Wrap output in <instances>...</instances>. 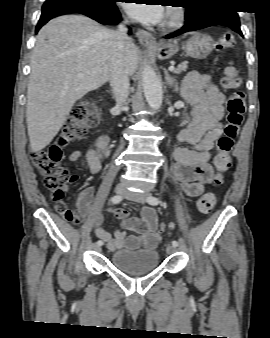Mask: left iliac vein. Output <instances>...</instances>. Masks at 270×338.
Segmentation results:
<instances>
[{
  "instance_id": "left-iliac-vein-1",
  "label": "left iliac vein",
  "mask_w": 270,
  "mask_h": 338,
  "mask_svg": "<svg viewBox=\"0 0 270 338\" xmlns=\"http://www.w3.org/2000/svg\"><path fill=\"white\" fill-rule=\"evenodd\" d=\"M148 195L149 193H146V192L125 191L124 193L125 198L142 203V204L147 201ZM175 251H176V247H174L173 245H168L166 247V253L168 255L173 254Z\"/></svg>"
}]
</instances>
